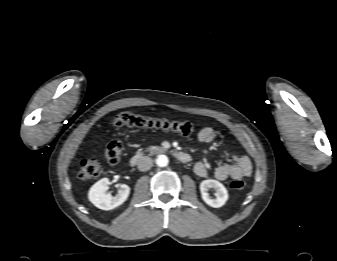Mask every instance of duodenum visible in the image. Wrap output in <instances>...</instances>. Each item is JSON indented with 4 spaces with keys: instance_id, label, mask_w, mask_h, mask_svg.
Listing matches in <instances>:
<instances>
[{
    "instance_id": "obj_1",
    "label": "duodenum",
    "mask_w": 337,
    "mask_h": 261,
    "mask_svg": "<svg viewBox=\"0 0 337 261\" xmlns=\"http://www.w3.org/2000/svg\"><path fill=\"white\" fill-rule=\"evenodd\" d=\"M175 157L182 163H188L191 160L190 155L185 152H176ZM142 158L143 157L140 154L133 155L130 159V165L132 167L137 166L141 162Z\"/></svg>"
}]
</instances>
